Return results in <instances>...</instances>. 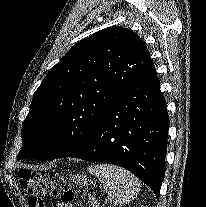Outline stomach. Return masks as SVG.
Wrapping results in <instances>:
<instances>
[{
  "label": "stomach",
  "instance_id": "1",
  "mask_svg": "<svg viewBox=\"0 0 206 207\" xmlns=\"http://www.w3.org/2000/svg\"><path fill=\"white\" fill-rule=\"evenodd\" d=\"M69 179L75 182V184L79 187H83L87 184L86 176L80 174L70 175Z\"/></svg>",
  "mask_w": 206,
  "mask_h": 207
}]
</instances>
